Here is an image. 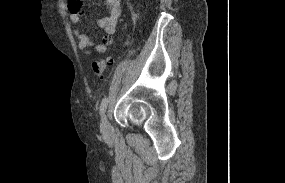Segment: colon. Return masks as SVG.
<instances>
[{"mask_svg":"<svg viewBox=\"0 0 285 183\" xmlns=\"http://www.w3.org/2000/svg\"><path fill=\"white\" fill-rule=\"evenodd\" d=\"M75 0H69V2H74ZM70 10L72 12H75L77 9L75 6H71L70 7ZM112 62V58L111 57H106V58H103V59H100L98 61H94L91 65L92 67V71L93 73L98 76V77H103L104 75V72L106 70V67L108 65H110Z\"/></svg>","mask_w":285,"mask_h":183,"instance_id":"1","label":"colon"}]
</instances>
